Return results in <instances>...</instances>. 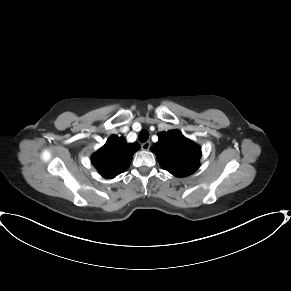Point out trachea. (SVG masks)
<instances>
[{"instance_id": "3493384b", "label": "trachea", "mask_w": 291, "mask_h": 291, "mask_svg": "<svg viewBox=\"0 0 291 291\" xmlns=\"http://www.w3.org/2000/svg\"><path fill=\"white\" fill-rule=\"evenodd\" d=\"M138 138H139V141H140V142H142V143L146 142V141L148 140V138H149V132H148V130L143 129V130L139 133Z\"/></svg>"}]
</instances>
